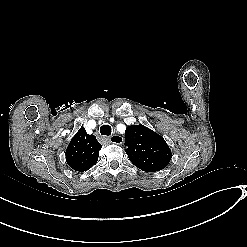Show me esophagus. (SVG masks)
<instances>
[{
    "instance_id": "obj_1",
    "label": "esophagus",
    "mask_w": 247,
    "mask_h": 247,
    "mask_svg": "<svg viewBox=\"0 0 247 247\" xmlns=\"http://www.w3.org/2000/svg\"><path fill=\"white\" fill-rule=\"evenodd\" d=\"M109 141L113 144H117V145H120L123 143V137L119 136V135H112L110 138H109Z\"/></svg>"
}]
</instances>
